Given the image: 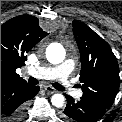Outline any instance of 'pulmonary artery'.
Instances as JSON below:
<instances>
[{"mask_svg": "<svg viewBox=\"0 0 122 122\" xmlns=\"http://www.w3.org/2000/svg\"><path fill=\"white\" fill-rule=\"evenodd\" d=\"M74 66V60L67 59L57 66L30 68L28 73L42 79H59L61 85L69 94L79 97L82 92L76 90L69 80V76L74 69Z\"/></svg>", "mask_w": 122, "mask_h": 122, "instance_id": "e3ab8cb5", "label": "pulmonary artery"}]
</instances>
